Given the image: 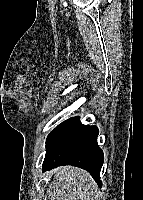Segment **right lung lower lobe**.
Wrapping results in <instances>:
<instances>
[{"label":"right lung lower lobe","instance_id":"obj_1","mask_svg":"<svg viewBox=\"0 0 143 200\" xmlns=\"http://www.w3.org/2000/svg\"><path fill=\"white\" fill-rule=\"evenodd\" d=\"M98 128L83 125L79 117L70 118L56 127L46 141L42 170L73 165L87 170L101 186L103 152L97 144Z\"/></svg>","mask_w":143,"mask_h":200}]
</instances>
